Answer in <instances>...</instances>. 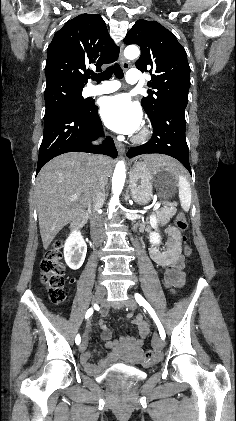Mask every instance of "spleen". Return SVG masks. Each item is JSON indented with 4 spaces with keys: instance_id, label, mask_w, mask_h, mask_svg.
Listing matches in <instances>:
<instances>
[{
    "instance_id": "3e777b00",
    "label": "spleen",
    "mask_w": 236,
    "mask_h": 421,
    "mask_svg": "<svg viewBox=\"0 0 236 421\" xmlns=\"http://www.w3.org/2000/svg\"><path fill=\"white\" fill-rule=\"evenodd\" d=\"M168 168H173V166H177V162H170L167 164ZM178 172V170H176ZM178 176V188H179V198L180 204L183 208V211H189L190 204H191V188L190 182H188L186 176L183 174H177Z\"/></svg>"
}]
</instances>
